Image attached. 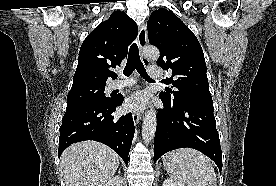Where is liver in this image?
Listing matches in <instances>:
<instances>
[{
  "mask_svg": "<svg viewBox=\"0 0 276 186\" xmlns=\"http://www.w3.org/2000/svg\"><path fill=\"white\" fill-rule=\"evenodd\" d=\"M120 157L108 146L82 141L61 155L60 169L65 186H104L119 167Z\"/></svg>",
  "mask_w": 276,
  "mask_h": 186,
  "instance_id": "obj_1",
  "label": "liver"
}]
</instances>
